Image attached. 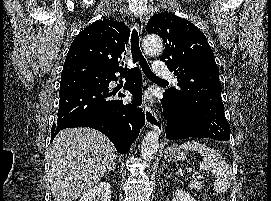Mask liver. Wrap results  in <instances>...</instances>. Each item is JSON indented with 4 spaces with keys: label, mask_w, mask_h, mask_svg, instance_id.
Returning <instances> with one entry per match:
<instances>
[{
    "label": "liver",
    "mask_w": 271,
    "mask_h": 201,
    "mask_svg": "<svg viewBox=\"0 0 271 201\" xmlns=\"http://www.w3.org/2000/svg\"><path fill=\"white\" fill-rule=\"evenodd\" d=\"M113 143L90 128L66 129L50 146L48 181L54 201H73L89 191L116 159Z\"/></svg>",
    "instance_id": "1"
}]
</instances>
